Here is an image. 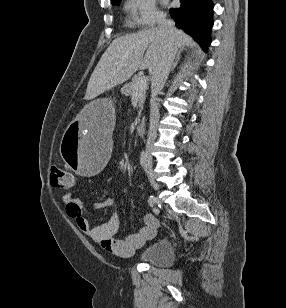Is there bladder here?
<instances>
[{"mask_svg": "<svg viewBox=\"0 0 286 308\" xmlns=\"http://www.w3.org/2000/svg\"><path fill=\"white\" fill-rule=\"evenodd\" d=\"M175 258L174 247L171 241L160 239L147 246L139 255L142 263L157 266L170 265Z\"/></svg>", "mask_w": 286, "mask_h": 308, "instance_id": "bladder-1", "label": "bladder"}]
</instances>
